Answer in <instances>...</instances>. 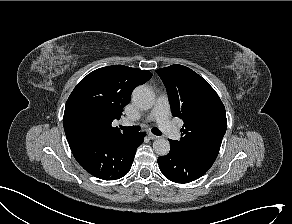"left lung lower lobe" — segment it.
<instances>
[{
  "instance_id": "obj_1",
  "label": "left lung lower lobe",
  "mask_w": 292,
  "mask_h": 224,
  "mask_svg": "<svg viewBox=\"0 0 292 224\" xmlns=\"http://www.w3.org/2000/svg\"><path fill=\"white\" fill-rule=\"evenodd\" d=\"M170 144L169 154L157 160L160 171L167 179L177 183H188L201 177L210 168L171 142Z\"/></svg>"
}]
</instances>
